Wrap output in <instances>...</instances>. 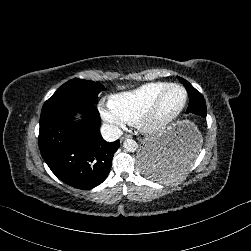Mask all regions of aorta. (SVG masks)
<instances>
[{
	"mask_svg": "<svg viewBox=\"0 0 251 251\" xmlns=\"http://www.w3.org/2000/svg\"><path fill=\"white\" fill-rule=\"evenodd\" d=\"M123 147L128 152H135L138 148V144L135 140L128 138L124 141Z\"/></svg>",
	"mask_w": 251,
	"mask_h": 251,
	"instance_id": "762f6f07",
	"label": "aorta"
}]
</instances>
